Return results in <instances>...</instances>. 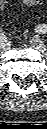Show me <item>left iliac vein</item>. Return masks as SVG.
<instances>
[{
  "label": "left iliac vein",
  "mask_w": 47,
  "mask_h": 129,
  "mask_svg": "<svg viewBox=\"0 0 47 129\" xmlns=\"http://www.w3.org/2000/svg\"><path fill=\"white\" fill-rule=\"evenodd\" d=\"M30 45L41 52L43 56H46L45 45L38 36H34L30 39Z\"/></svg>",
  "instance_id": "4c4485c4"
}]
</instances>
